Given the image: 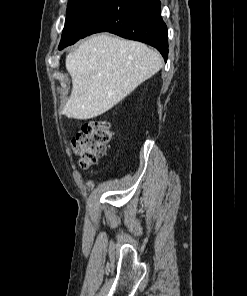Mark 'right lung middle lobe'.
Masks as SVG:
<instances>
[{
  "label": "right lung middle lobe",
  "mask_w": 247,
  "mask_h": 296,
  "mask_svg": "<svg viewBox=\"0 0 247 296\" xmlns=\"http://www.w3.org/2000/svg\"><path fill=\"white\" fill-rule=\"evenodd\" d=\"M109 0H69L65 27L59 49L74 44L87 32L89 20L104 7Z\"/></svg>",
  "instance_id": "1"
}]
</instances>
